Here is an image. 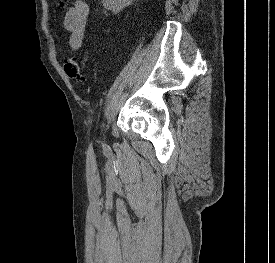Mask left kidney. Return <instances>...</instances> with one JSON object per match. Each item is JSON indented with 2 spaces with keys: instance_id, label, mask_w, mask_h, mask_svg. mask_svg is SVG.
I'll return each instance as SVG.
<instances>
[{
  "instance_id": "obj_1",
  "label": "left kidney",
  "mask_w": 275,
  "mask_h": 263,
  "mask_svg": "<svg viewBox=\"0 0 275 263\" xmlns=\"http://www.w3.org/2000/svg\"><path fill=\"white\" fill-rule=\"evenodd\" d=\"M132 0H102L103 6L111 10L113 13H118L125 7H127Z\"/></svg>"
}]
</instances>
